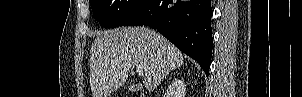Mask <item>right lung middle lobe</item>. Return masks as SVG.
<instances>
[{
	"instance_id": "dd1d6c3e",
	"label": "right lung middle lobe",
	"mask_w": 302,
	"mask_h": 97,
	"mask_svg": "<svg viewBox=\"0 0 302 97\" xmlns=\"http://www.w3.org/2000/svg\"><path fill=\"white\" fill-rule=\"evenodd\" d=\"M147 0H89L101 27L123 26Z\"/></svg>"
}]
</instances>
